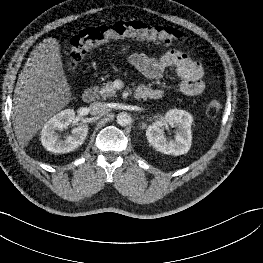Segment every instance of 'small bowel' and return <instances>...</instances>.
Returning <instances> with one entry per match:
<instances>
[{"label":"small bowel","mask_w":263,"mask_h":263,"mask_svg":"<svg viewBox=\"0 0 263 263\" xmlns=\"http://www.w3.org/2000/svg\"><path fill=\"white\" fill-rule=\"evenodd\" d=\"M128 61L143 76L150 79L159 78L168 68H174L181 79L180 90L186 96H198L205 89L202 80V66L180 50H169L160 58H152L143 53H133L128 57ZM139 89L149 93L147 98L157 99L163 95L159 89L147 86H141Z\"/></svg>","instance_id":"obj_1"}]
</instances>
